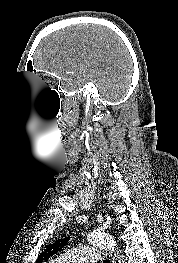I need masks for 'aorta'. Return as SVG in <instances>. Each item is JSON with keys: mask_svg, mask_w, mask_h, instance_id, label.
I'll return each mask as SVG.
<instances>
[{"mask_svg": "<svg viewBox=\"0 0 178 263\" xmlns=\"http://www.w3.org/2000/svg\"><path fill=\"white\" fill-rule=\"evenodd\" d=\"M87 240L93 245L115 252L116 241L109 234L94 231L87 236ZM115 258L118 263H123L121 257L118 255V252H115Z\"/></svg>", "mask_w": 178, "mask_h": 263, "instance_id": "aorta-1", "label": "aorta"}]
</instances>
